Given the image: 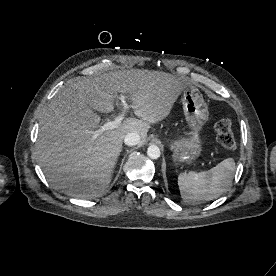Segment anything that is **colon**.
Returning <instances> with one entry per match:
<instances>
[{
	"label": "colon",
	"instance_id": "1",
	"mask_svg": "<svg viewBox=\"0 0 276 276\" xmlns=\"http://www.w3.org/2000/svg\"><path fill=\"white\" fill-rule=\"evenodd\" d=\"M215 129L219 143L228 150H234L237 144L232 133L231 121L227 118H222L215 124Z\"/></svg>",
	"mask_w": 276,
	"mask_h": 276
}]
</instances>
